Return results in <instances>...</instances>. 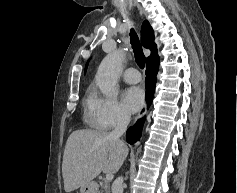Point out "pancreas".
Returning <instances> with one entry per match:
<instances>
[{
    "mask_svg": "<svg viewBox=\"0 0 237 193\" xmlns=\"http://www.w3.org/2000/svg\"><path fill=\"white\" fill-rule=\"evenodd\" d=\"M102 191L99 193H110V185L108 182H102L101 184Z\"/></svg>",
    "mask_w": 237,
    "mask_h": 193,
    "instance_id": "pancreas-1",
    "label": "pancreas"
}]
</instances>
